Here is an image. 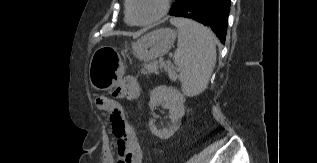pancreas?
Segmentation results:
<instances>
[{
  "label": "pancreas",
  "instance_id": "cf45deb5",
  "mask_svg": "<svg viewBox=\"0 0 317 163\" xmlns=\"http://www.w3.org/2000/svg\"><path fill=\"white\" fill-rule=\"evenodd\" d=\"M168 70L170 71V66L168 63H158L157 61H153L150 63H144L143 68L141 69V73L143 74H151L158 73L159 70Z\"/></svg>",
  "mask_w": 317,
  "mask_h": 163
}]
</instances>
